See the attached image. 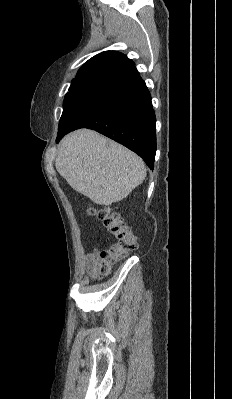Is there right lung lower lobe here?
<instances>
[{
    "instance_id": "98d812e1",
    "label": "right lung lower lobe",
    "mask_w": 232,
    "mask_h": 399,
    "mask_svg": "<svg viewBox=\"0 0 232 399\" xmlns=\"http://www.w3.org/2000/svg\"><path fill=\"white\" fill-rule=\"evenodd\" d=\"M155 122L150 93L134 66L63 105L56 142L73 130L93 129L134 151L153 169Z\"/></svg>"
}]
</instances>
